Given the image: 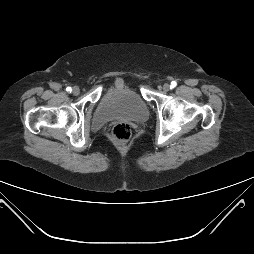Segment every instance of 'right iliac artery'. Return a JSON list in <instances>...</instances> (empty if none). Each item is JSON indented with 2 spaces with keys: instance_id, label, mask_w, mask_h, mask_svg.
<instances>
[{
  "instance_id": "82829eb1",
  "label": "right iliac artery",
  "mask_w": 254,
  "mask_h": 254,
  "mask_svg": "<svg viewBox=\"0 0 254 254\" xmlns=\"http://www.w3.org/2000/svg\"><path fill=\"white\" fill-rule=\"evenodd\" d=\"M66 90H67V92H71L72 88L71 87H67Z\"/></svg>"
}]
</instances>
